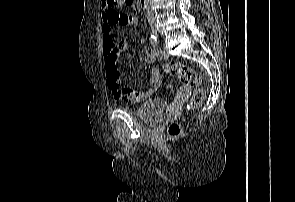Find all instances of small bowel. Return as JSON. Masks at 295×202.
I'll return each instance as SVG.
<instances>
[{"mask_svg": "<svg viewBox=\"0 0 295 202\" xmlns=\"http://www.w3.org/2000/svg\"><path fill=\"white\" fill-rule=\"evenodd\" d=\"M101 8L103 57L108 88L116 99L125 100L130 103H139L152 98L161 85V75L157 71L152 72L150 79L151 85L144 91H134L121 87L119 60L128 48V41L125 39L115 43L112 37V31L114 26L121 25L120 17L125 14H121L117 9L110 7L106 0L102 2ZM127 16L129 17V25L131 27L138 25L139 20L135 14ZM164 56V52L153 47L148 50L146 61L152 63ZM184 98H189L188 85H180V93H177L175 102H171V107H181V103H184Z\"/></svg>", "mask_w": 295, "mask_h": 202, "instance_id": "obj_1", "label": "small bowel"}]
</instances>
